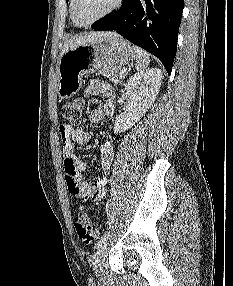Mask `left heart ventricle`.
I'll use <instances>...</instances> for the list:
<instances>
[{"mask_svg":"<svg viewBox=\"0 0 233 286\" xmlns=\"http://www.w3.org/2000/svg\"><path fill=\"white\" fill-rule=\"evenodd\" d=\"M115 0H77L75 14L79 22L92 21L107 11Z\"/></svg>","mask_w":233,"mask_h":286,"instance_id":"1","label":"left heart ventricle"}]
</instances>
